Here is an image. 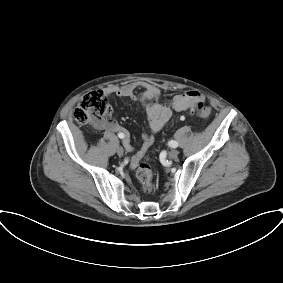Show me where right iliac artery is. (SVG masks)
I'll list each match as a JSON object with an SVG mask.
<instances>
[{"mask_svg":"<svg viewBox=\"0 0 283 283\" xmlns=\"http://www.w3.org/2000/svg\"><path fill=\"white\" fill-rule=\"evenodd\" d=\"M118 137L123 139L124 138V134L123 133H118Z\"/></svg>","mask_w":283,"mask_h":283,"instance_id":"right-iliac-artery-1","label":"right iliac artery"}]
</instances>
